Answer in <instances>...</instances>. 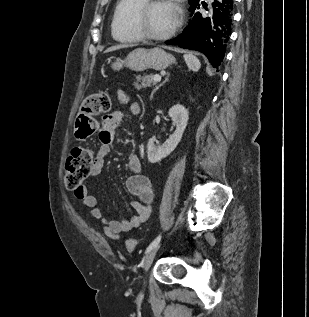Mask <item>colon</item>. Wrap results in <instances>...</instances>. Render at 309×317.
I'll return each mask as SVG.
<instances>
[{
    "instance_id": "5ec220e1",
    "label": "colon",
    "mask_w": 309,
    "mask_h": 317,
    "mask_svg": "<svg viewBox=\"0 0 309 317\" xmlns=\"http://www.w3.org/2000/svg\"><path fill=\"white\" fill-rule=\"evenodd\" d=\"M111 98L107 93H93L85 98L81 111L76 118L75 134L78 138H87L97 128L95 117L110 110ZM94 163V153L87 147H75L72 149L66 161L65 185L72 191H77L91 174ZM127 247L134 251L136 243L133 239L127 241Z\"/></svg>"
}]
</instances>
